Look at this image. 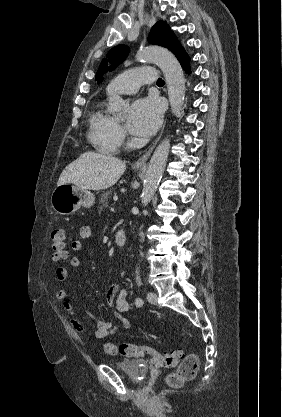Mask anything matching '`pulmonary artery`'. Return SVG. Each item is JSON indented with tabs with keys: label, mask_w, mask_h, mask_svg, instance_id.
Listing matches in <instances>:
<instances>
[{
	"label": "pulmonary artery",
	"mask_w": 282,
	"mask_h": 417,
	"mask_svg": "<svg viewBox=\"0 0 282 417\" xmlns=\"http://www.w3.org/2000/svg\"><path fill=\"white\" fill-rule=\"evenodd\" d=\"M155 67L153 65H142L141 69L128 70L115 77L107 86L108 95L123 93L134 94L138 91L140 85L146 83H157L158 76L153 74Z\"/></svg>",
	"instance_id": "pulmonary-artery-1"
}]
</instances>
